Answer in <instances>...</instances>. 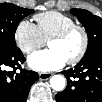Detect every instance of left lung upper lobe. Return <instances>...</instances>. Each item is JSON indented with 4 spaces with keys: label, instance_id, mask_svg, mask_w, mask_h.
<instances>
[{
    "label": "left lung upper lobe",
    "instance_id": "1",
    "mask_svg": "<svg viewBox=\"0 0 102 102\" xmlns=\"http://www.w3.org/2000/svg\"><path fill=\"white\" fill-rule=\"evenodd\" d=\"M70 12L78 17L88 34V48L84 57L102 52V19L83 9H71Z\"/></svg>",
    "mask_w": 102,
    "mask_h": 102
}]
</instances>
